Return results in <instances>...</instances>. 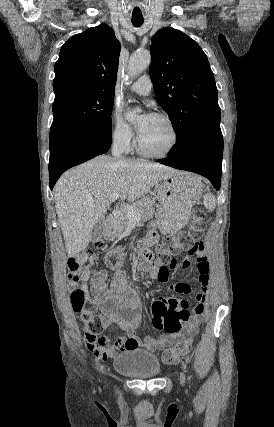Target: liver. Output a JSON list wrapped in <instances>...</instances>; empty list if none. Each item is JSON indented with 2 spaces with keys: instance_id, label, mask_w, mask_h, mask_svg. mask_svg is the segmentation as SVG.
Here are the masks:
<instances>
[{
  "instance_id": "1",
  "label": "liver",
  "mask_w": 274,
  "mask_h": 427,
  "mask_svg": "<svg viewBox=\"0 0 274 427\" xmlns=\"http://www.w3.org/2000/svg\"><path fill=\"white\" fill-rule=\"evenodd\" d=\"M174 174L177 170L168 166L111 156H98L65 172L54 188V200L67 255L87 247L94 225L111 204L110 196L120 194L121 200L135 202Z\"/></svg>"
}]
</instances>
